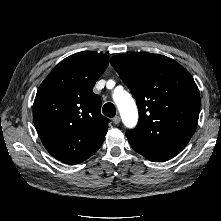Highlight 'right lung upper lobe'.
<instances>
[{
  "instance_id": "1",
  "label": "right lung upper lobe",
  "mask_w": 221,
  "mask_h": 221,
  "mask_svg": "<svg viewBox=\"0 0 221 221\" xmlns=\"http://www.w3.org/2000/svg\"><path fill=\"white\" fill-rule=\"evenodd\" d=\"M109 64L105 54L83 51L62 60L41 83L33 120L46 150L56 159L78 164L102 145L109 119L93 86Z\"/></svg>"
}]
</instances>
